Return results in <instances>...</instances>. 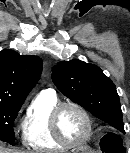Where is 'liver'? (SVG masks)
<instances>
[{
  "label": "liver",
  "mask_w": 130,
  "mask_h": 153,
  "mask_svg": "<svg viewBox=\"0 0 130 153\" xmlns=\"http://www.w3.org/2000/svg\"><path fill=\"white\" fill-rule=\"evenodd\" d=\"M0 153H25V152L7 149V148L3 147L2 145H0Z\"/></svg>",
  "instance_id": "liver-1"
}]
</instances>
